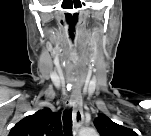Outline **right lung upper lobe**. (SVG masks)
Here are the masks:
<instances>
[{"instance_id": "obj_1", "label": "right lung upper lobe", "mask_w": 151, "mask_h": 136, "mask_svg": "<svg viewBox=\"0 0 151 136\" xmlns=\"http://www.w3.org/2000/svg\"><path fill=\"white\" fill-rule=\"evenodd\" d=\"M11 136H61L60 113L49 108L37 111L19 121L10 131Z\"/></svg>"}]
</instances>
